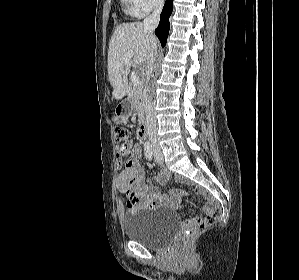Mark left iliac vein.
<instances>
[{"instance_id":"4c4485c4","label":"left iliac vein","mask_w":299,"mask_h":280,"mask_svg":"<svg viewBox=\"0 0 299 280\" xmlns=\"http://www.w3.org/2000/svg\"><path fill=\"white\" fill-rule=\"evenodd\" d=\"M155 154V161L159 164L163 163L164 156L160 148H156L154 151Z\"/></svg>"}]
</instances>
